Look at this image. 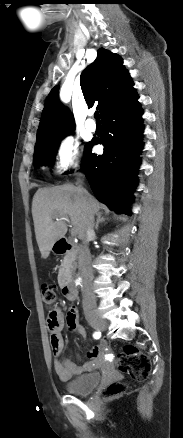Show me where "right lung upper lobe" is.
<instances>
[{
  "mask_svg": "<svg viewBox=\"0 0 183 438\" xmlns=\"http://www.w3.org/2000/svg\"><path fill=\"white\" fill-rule=\"evenodd\" d=\"M80 85L88 107L98 101L101 117L136 94L121 57L103 48L98 50L96 60L82 72ZM58 94L59 86H55L46 99L37 138L75 127L72 114L61 104Z\"/></svg>",
  "mask_w": 183,
  "mask_h": 438,
  "instance_id": "1",
  "label": "right lung upper lobe"
}]
</instances>
